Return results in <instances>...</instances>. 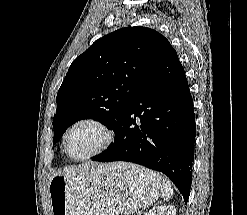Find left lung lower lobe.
I'll return each mask as SVG.
<instances>
[{"mask_svg": "<svg viewBox=\"0 0 247 215\" xmlns=\"http://www.w3.org/2000/svg\"><path fill=\"white\" fill-rule=\"evenodd\" d=\"M196 135L193 100L176 51L166 54L139 86L115 131L93 161H127L167 175L188 201Z\"/></svg>", "mask_w": 247, "mask_h": 215, "instance_id": "1", "label": "left lung lower lobe"}]
</instances>
